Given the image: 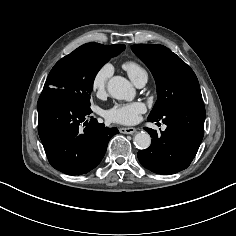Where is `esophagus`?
Listing matches in <instances>:
<instances>
[{
	"label": "esophagus",
	"mask_w": 236,
	"mask_h": 236,
	"mask_svg": "<svg viewBox=\"0 0 236 236\" xmlns=\"http://www.w3.org/2000/svg\"><path fill=\"white\" fill-rule=\"evenodd\" d=\"M119 131L123 134H133L136 132V129L133 127L120 128Z\"/></svg>",
	"instance_id": "34e87169"
}]
</instances>
